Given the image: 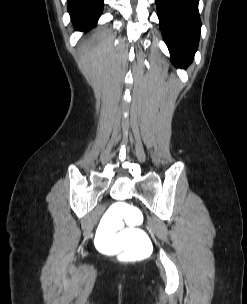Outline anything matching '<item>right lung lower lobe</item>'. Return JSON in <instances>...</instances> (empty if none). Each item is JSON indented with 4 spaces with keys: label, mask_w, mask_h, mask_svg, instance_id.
Wrapping results in <instances>:
<instances>
[{
    "label": "right lung lower lobe",
    "mask_w": 247,
    "mask_h": 304,
    "mask_svg": "<svg viewBox=\"0 0 247 304\" xmlns=\"http://www.w3.org/2000/svg\"><path fill=\"white\" fill-rule=\"evenodd\" d=\"M104 0H67L68 12L77 30L92 28L103 9Z\"/></svg>",
    "instance_id": "98d812e1"
}]
</instances>
